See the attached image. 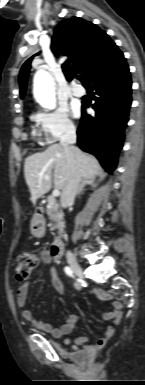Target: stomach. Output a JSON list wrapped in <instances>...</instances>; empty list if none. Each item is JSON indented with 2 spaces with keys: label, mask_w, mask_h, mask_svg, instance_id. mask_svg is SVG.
Instances as JSON below:
<instances>
[{
  "label": "stomach",
  "mask_w": 145,
  "mask_h": 385,
  "mask_svg": "<svg viewBox=\"0 0 145 385\" xmlns=\"http://www.w3.org/2000/svg\"><path fill=\"white\" fill-rule=\"evenodd\" d=\"M31 233L34 236L41 237L43 235V233H44V226L41 225L37 229L36 223H32V225H31Z\"/></svg>",
  "instance_id": "1"
}]
</instances>
